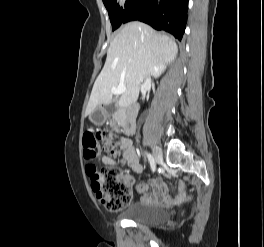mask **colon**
<instances>
[{
	"label": "colon",
	"mask_w": 264,
	"mask_h": 247,
	"mask_svg": "<svg viewBox=\"0 0 264 247\" xmlns=\"http://www.w3.org/2000/svg\"><path fill=\"white\" fill-rule=\"evenodd\" d=\"M117 126L97 130L84 136V157L88 162L86 168L90 177L91 188L101 204L111 212L125 209L131 202V189L128 181L118 169L98 167L94 162L98 159L97 141L102 143V149L112 155H117L114 132Z\"/></svg>",
	"instance_id": "1"
}]
</instances>
